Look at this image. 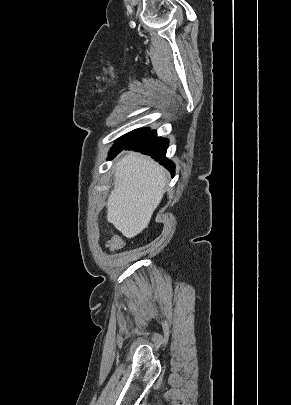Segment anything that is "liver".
I'll return each instance as SVG.
<instances>
[{
    "instance_id": "1",
    "label": "liver",
    "mask_w": 291,
    "mask_h": 405,
    "mask_svg": "<svg viewBox=\"0 0 291 405\" xmlns=\"http://www.w3.org/2000/svg\"><path fill=\"white\" fill-rule=\"evenodd\" d=\"M167 184L162 166L130 152L116 163L115 183L107 201V220L133 238L147 228Z\"/></svg>"
}]
</instances>
